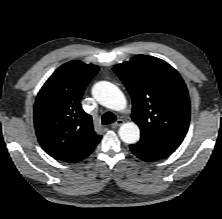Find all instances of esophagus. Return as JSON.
<instances>
[{
  "label": "esophagus",
  "mask_w": 222,
  "mask_h": 219,
  "mask_svg": "<svg viewBox=\"0 0 222 219\" xmlns=\"http://www.w3.org/2000/svg\"><path fill=\"white\" fill-rule=\"evenodd\" d=\"M123 123H124V121H123L122 119H118L115 123H113V124L111 125V128L119 127V126H121Z\"/></svg>",
  "instance_id": "1"
}]
</instances>
